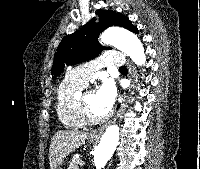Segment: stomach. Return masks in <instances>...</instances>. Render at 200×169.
Masks as SVG:
<instances>
[{
    "instance_id": "obj_1",
    "label": "stomach",
    "mask_w": 200,
    "mask_h": 169,
    "mask_svg": "<svg viewBox=\"0 0 200 169\" xmlns=\"http://www.w3.org/2000/svg\"><path fill=\"white\" fill-rule=\"evenodd\" d=\"M91 142H95V140L93 138H90ZM57 169H61V168H57Z\"/></svg>"
}]
</instances>
